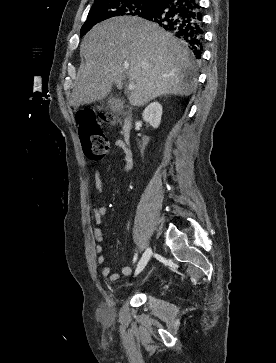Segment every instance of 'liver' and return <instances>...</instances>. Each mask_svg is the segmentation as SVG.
I'll list each match as a JSON object with an SVG mask.
<instances>
[{"instance_id":"liver-1","label":"liver","mask_w":276,"mask_h":363,"mask_svg":"<svg viewBox=\"0 0 276 363\" xmlns=\"http://www.w3.org/2000/svg\"><path fill=\"white\" fill-rule=\"evenodd\" d=\"M85 58L70 105L78 107L104 99L113 83L125 80L136 87L129 94L133 106L162 95L188 96L196 90V67L185 44L158 25L139 17H115L94 26L84 37Z\"/></svg>"}]
</instances>
